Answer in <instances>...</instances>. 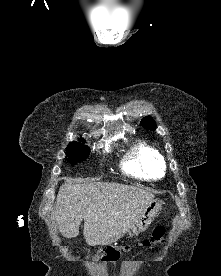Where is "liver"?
Returning a JSON list of instances; mask_svg holds the SVG:
<instances>
[{
    "instance_id": "obj_1",
    "label": "liver",
    "mask_w": 221,
    "mask_h": 276,
    "mask_svg": "<svg viewBox=\"0 0 221 276\" xmlns=\"http://www.w3.org/2000/svg\"><path fill=\"white\" fill-rule=\"evenodd\" d=\"M154 195L118 183L65 184L58 191L54 220L62 235L74 238L84 220L88 245H107L123 237L143 214Z\"/></svg>"
}]
</instances>
